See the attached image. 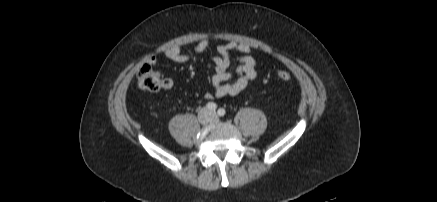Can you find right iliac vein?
<instances>
[{
  "label": "right iliac vein",
  "instance_id": "63e3f726",
  "mask_svg": "<svg viewBox=\"0 0 437 202\" xmlns=\"http://www.w3.org/2000/svg\"><path fill=\"white\" fill-rule=\"evenodd\" d=\"M198 119L201 123H207L209 121V113L207 109H202L198 114Z\"/></svg>",
  "mask_w": 437,
  "mask_h": 202
}]
</instances>
